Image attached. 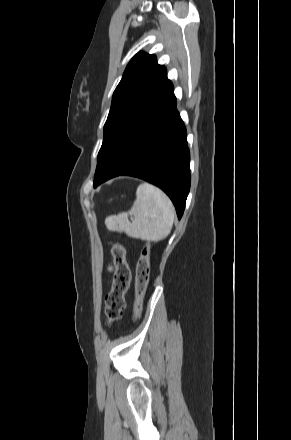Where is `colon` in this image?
<instances>
[{
	"instance_id": "colon-1",
	"label": "colon",
	"mask_w": 291,
	"mask_h": 440,
	"mask_svg": "<svg viewBox=\"0 0 291 440\" xmlns=\"http://www.w3.org/2000/svg\"><path fill=\"white\" fill-rule=\"evenodd\" d=\"M114 263V281L111 291L105 298V316L107 323L120 318L124 308V294L130 281V269L126 260V251L121 243H115L112 247ZM150 275V243L146 242L142 248L136 268V294L137 300L134 311L140 310L141 298L148 287Z\"/></svg>"
}]
</instances>
